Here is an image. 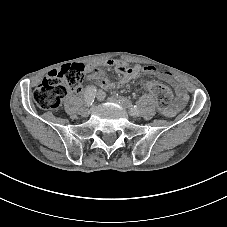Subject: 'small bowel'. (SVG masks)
Masks as SVG:
<instances>
[{
    "instance_id": "c3829d8e",
    "label": "small bowel",
    "mask_w": 227,
    "mask_h": 227,
    "mask_svg": "<svg viewBox=\"0 0 227 227\" xmlns=\"http://www.w3.org/2000/svg\"><path fill=\"white\" fill-rule=\"evenodd\" d=\"M102 66L113 67L115 71L121 76L120 81L117 83L108 81L104 75L103 70L101 69ZM86 72L91 78L96 80L102 88L107 90L113 89L128 80L135 79L143 75L145 72L158 76L159 78L168 82L174 88L177 95L176 101L172 108L163 110V113L165 115H174L183 107L185 102L188 100V95L183 85L177 78H175L169 72L159 71L154 67H143L138 64L128 65L125 61L122 60L108 59L96 64L87 65ZM97 95L98 98L101 99L103 98L104 93L102 91H98Z\"/></svg>"
}]
</instances>
